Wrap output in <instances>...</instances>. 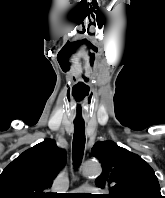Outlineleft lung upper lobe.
<instances>
[{"instance_id": "left-lung-upper-lobe-1", "label": "left lung upper lobe", "mask_w": 165, "mask_h": 198, "mask_svg": "<svg viewBox=\"0 0 165 198\" xmlns=\"http://www.w3.org/2000/svg\"><path fill=\"white\" fill-rule=\"evenodd\" d=\"M91 152L102 164L95 184L109 188L105 198H164L153 169L138 155L112 141L95 143Z\"/></svg>"}]
</instances>
